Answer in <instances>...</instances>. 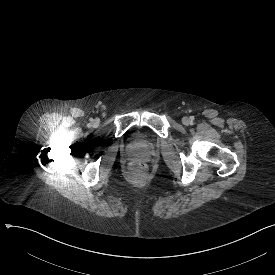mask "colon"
I'll return each mask as SVG.
<instances>
[{
	"label": "colon",
	"instance_id": "5ec220e1",
	"mask_svg": "<svg viewBox=\"0 0 275 275\" xmlns=\"http://www.w3.org/2000/svg\"><path fill=\"white\" fill-rule=\"evenodd\" d=\"M131 166L136 168H144V164L140 161L134 162Z\"/></svg>",
	"mask_w": 275,
	"mask_h": 275
}]
</instances>
